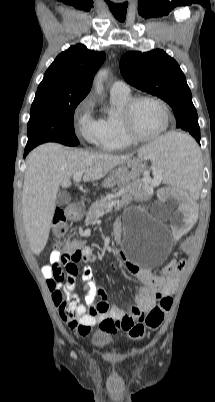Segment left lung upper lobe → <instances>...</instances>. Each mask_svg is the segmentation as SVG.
Listing matches in <instances>:
<instances>
[{"label": "left lung upper lobe", "instance_id": "1", "mask_svg": "<svg viewBox=\"0 0 215 402\" xmlns=\"http://www.w3.org/2000/svg\"><path fill=\"white\" fill-rule=\"evenodd\" d=\"M120 70L127 83L166 101L174 110L177 128L200 140L191 91L173 58L160 49L146 53L131 51L122 56Z\"/></svg>", "mask_w": 215, "mask_h": 402}]
</instances>
